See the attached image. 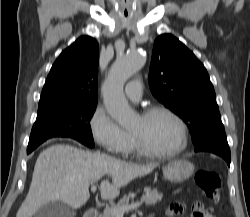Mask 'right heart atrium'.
<instances>
[{
  "label": "right heart atrium",
  "instance_id": "obj_1",
  "mask_svg": "<svg viewBox=\"0 0 250 217\" xmlns=\"http://www.w3.org/2000/svg\"><path fill=\"white\" fill-rule=\"evenodd\" d=\"M88 127L93 140L107 153L121 155L128 151L129 134L116 123L101 105L96 106L93 110Z\"/></svg>",
  "mask_w": 250,
  "mask_h": 217
}]
</instances>
